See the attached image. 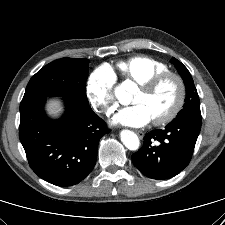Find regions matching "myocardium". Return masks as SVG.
Wrapping results in <instances>:
<instances>
[{
    "mask_svg": "<svg viewBox=\"0 0 225 225\" xmlns=\"http://www.w3.org/2000/svg\"><path fill=\"white\" fill-rule=\"evenodd\" d=\"M166 80H173L175 82L177 87V95L171 107L163 115L152 120L153 124L156 126L164 125L178 115L185 100V83L180 75L171 71L160 73L139 83L140 89L147 93H151L154 92Z\"/></svg>",
    "mask_w": 225,
    "mask_h": 225,
    "instance_id": "f54148a6",
    "label": "myocardium"
}]
</instances>
